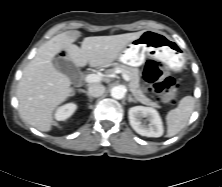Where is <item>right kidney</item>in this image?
Returning a JSON list of instances; mask_svg holds the SVG:
<instances>
[{
	"label": "right kidney",
	"instance_id": "ca27d5eb",
	"mask_svg": "<svg viewBox=\"0 0 222 187\" xmlns=\"http://www.w3.org/2000/svg\"><path fill=\"white\" fill-rule=\"evenodd\" d=\"M77 109V106L74 103H68L59 107L55 113V118L58 121H64L69 118Z\"/></svg>",
	"mask_w": 222,
	"mask_h": 187
}]
</instances>
